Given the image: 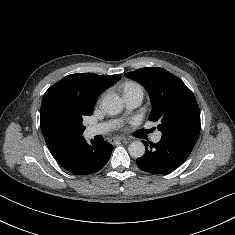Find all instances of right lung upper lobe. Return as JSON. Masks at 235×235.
Wrapping results in <instances>:
<instances>
[{"label": "right lung upper lobe", "mask_w": 235, "mask_h": 235, "mask_svg": "<svg viewBox=\"0 0 235 235\" xmlns=\"http://www.w3.org/2000/svg\"><path fill=\"white\" fill-rule=\"evenodd\" d=\"M120 79V75L100 76L92 73L71 74L51 86L41 104L40 126L46 144L56 159L82 138V134L63 132L55 121L59 109L68 105L90 108L97 96Z\"/></svg>", "instance_id": "1"}]
</instances>
